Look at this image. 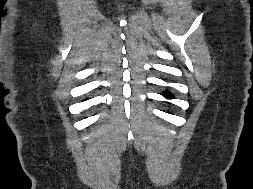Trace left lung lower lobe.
<instances>
[{
	"instance_id": "1",
	"label": "left lung lower lobe",
	"mask_w": 253,
	"mask_h": 189,
	"mask_svg": "<svg viewBox=\"0 0 253 189\" xmlns=\"http://www.w3.org/2000/svg\"><path fill=\"white\" fill-rule=\"evenodd\" d=\"M163 96H165L166 98H173V96L168 92L163 93Z\"/></svg>"
}]
</instances>
